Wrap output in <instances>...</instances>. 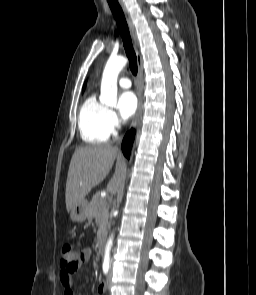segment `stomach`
Returning <instances> with one entry per match:
<instances>
[{
	"label": "stomach",
	"instance_id": "obj_1",
	"mask_svg": "<svg viewBox=\"0 0 256 295\" xmlns=\"http://www.w3.org/2000/svg\"><path fill=\"white\" fill-rule=\"evenodd\" d=\"M87 208L88 203L85 200L76 205L70 211V220L74 223L84 222L87 218Z\"/></svg>",
	"mask_w": 256,
	"mask_h": 295
}]
</instances>
